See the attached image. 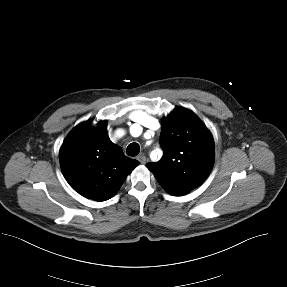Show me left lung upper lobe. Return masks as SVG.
I'll return each mask as SVG.
<instances>
[{
    "label": "left lung upper lobe",
    "instance_id": "1",
    "mask_svg": "<svg viewBox=\"0 0 287 287\" xmlns=\"http://www.w3.org/2000/svg\"><path fill=\"white\" fill-rule=\"evenodd\" d=\"M160 143L163 157L147 168L169 194L185 195L205 181L214 164V141L192 111L177 107L164 118Z\"/></svg>",
    "mask_w": 287,
    "mask_h": 287
}]
</instances>
